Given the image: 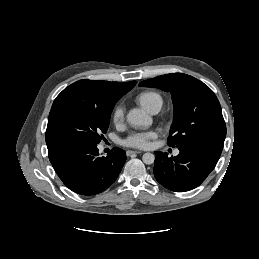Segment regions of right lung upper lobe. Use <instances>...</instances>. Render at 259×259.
<instances>
[{
  "mask_svg": "<svg viewBox=\"0 0 259 259\" xmlns=\"http://www.w3.org/2000/svg\"><path fill=\"white\" fill-rule=\"evenodd\" d=\"M136 84L131 82H109L79 80L65 88L55 99L75 98L101 107H114L115 103Z\"/></svg>",
  "mask_w": 259,
  "mask_h": 259,
  "instance_id": "right-lung-upper-lobe-1",
  "label": "right lung upper lobe"
}]
</instances>
